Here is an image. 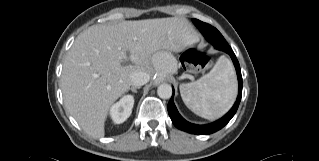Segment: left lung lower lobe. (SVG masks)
Segmentation results:
<instances>
[{
    "label": "left lung lower lobe",
    "mask_w": 319,
    "mask_h": 161,
    "mask_svg": "<svg viewBox=\"0 0 319 161\" xmlns=\"http://www.w3.org/2000/svg\"><path fill=\"white\" fill-rule=\"evenodd\" d=\"M199 28L202 30L201 33L204 35V37L212 38V36L210 35L212 33L209 30L205 31V27H203L202 25H199ZM222 51L228 53L231 56L236 72H237V76H238L239 93H238V97L235 104L230 109V111L219 120L207 125H196L186 121L177 111L176 106L173 102V95H174V89H173V95L168 103L167 109L173 124L178 129L186 131L188 133H192V134L208 135L222 129L235 115L241 100V96H242V76H241L240 65L233 50L231 49L229 45L223 47Z\"/></svg>",
    "instance_id": "left-lung-lower-lobe-1"
}]
</instances>
